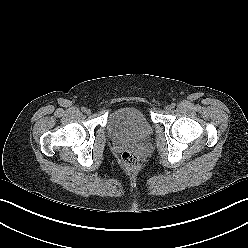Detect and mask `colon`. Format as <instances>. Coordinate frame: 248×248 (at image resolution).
<instances>
[{
    "label": "colon",
    "mask_w": 248,
    "mask_h": 248,
    "mask_svg": "<svg viewBox=\"0 0 248 248\" xmlns=\"http://www.w3.org/2000/svg\"><path fill=\"white\" fill-rule=\"evenodd\" d=\"M121 160L124 167L130 171L135 172L139 168V157L133 151L126 150L121 155Z\"/></svg>",
    "instance_id": "5ec220e1"
}]
</instances>
